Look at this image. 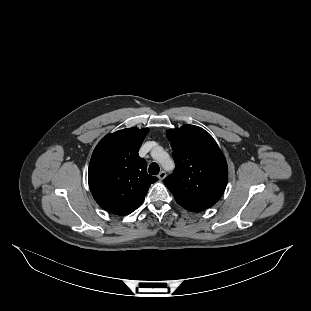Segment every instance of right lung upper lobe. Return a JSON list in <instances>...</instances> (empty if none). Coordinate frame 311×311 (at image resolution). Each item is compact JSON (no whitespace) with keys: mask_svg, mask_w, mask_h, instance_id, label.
<instances>
[{"mask_svg":"<svg viewBox=\"0 0 311 311\" xmlns=\"http://www.w3.org/2000/svg\"><path fill=\"white\" fill-rule=\"evenodd\" d=\"M149 129L127 128L106 135L91 156L88 182L96 202L106 211L127 215L144 201L158 180L147 174L139 148Z\"/></svg>","mask_w":311,"mask_h":311,"instance_id":"1","label":"right lung upper lobe"}]
</instances>
